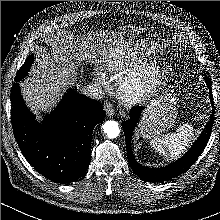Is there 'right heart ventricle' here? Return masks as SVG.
Masks as SVG:
<instances>
[{"label":"right heart ventricle","mask_w":220,"mask_h":220,"mask_svg":"<svg viewBox=\"0 0 220 220\" xmlns=\"http://www.w3.org/2000/svg\"><path fill=\"white\" fill-rule=\"evenodd\" d=\"M141 60L139 59H126V58H114L106 62L103 66V71L115 76H121L136 69Z\"/></svg>","instance_id":"right-heart-ventricle-1"}]
</instances>
